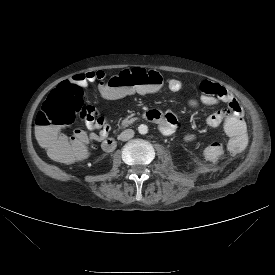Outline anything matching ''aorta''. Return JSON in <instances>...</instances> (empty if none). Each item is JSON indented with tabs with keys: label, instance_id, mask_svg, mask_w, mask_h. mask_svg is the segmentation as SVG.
Masks as SVG:
<instances>
[{
	"label": "aorta",
	"instance_id": "762f6f07",
	"mask_svg": "<svg viewBox=\"0 0 275 275\" xmlns=\"http://www.w3.org/2000/svg\"><path fill=\"white\" fill-rule=\"evenodd\" d=\"M138 132L144 135L148 132V127L144 124H141L138 126Z\"/></svg>",
	"mask_w": 275,
	"mask_h": 275
}]
</instances>
